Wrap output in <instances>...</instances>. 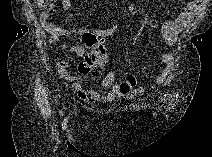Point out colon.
Masks as SVG:
<instances>
[{"mask_svg":"<svg viewBox=\"0 0 212 157\" xmlns=\"http://www.w3.org/2000/svg\"><path fill=\"white\" fill-rule=\"evenodd\" d=\"M36 4L43 9H47L52 6V2L48 0H39ZM83 39L90 47V51L85 60L79 66L80 73L88 74L94 69L104 68L107 64L108 57V51L105 46L90 33L83 34Z\"/></svg>","mask_w":212,"mask_h":157,"instance_id":"colon-1","label":"colon"}]
</instances>
